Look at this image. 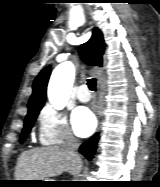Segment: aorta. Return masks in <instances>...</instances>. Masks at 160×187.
Returning <instances> with one entry per match:
<instances>
[{"label": "aorta", "mask_w": 160, "mask_h": 187, "mask_svg": "<svg viewBox=\"0 0 160 187\" xmlns=\"http://www.w3.org/2000/svg\"><path fill=\"white\" fill-rule=\"evenodd\" d=\"M75 78V67L71 62L58 65L52 72L48 85V99L55 109L67 104Z\"/></svg>", "instance_id": "obj_1"}]
</instances>
